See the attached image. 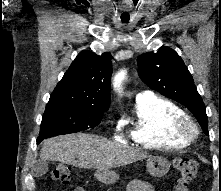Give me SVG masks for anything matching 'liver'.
I'll list each match as a JSON object with an SVG mask.
<instances>
[{"mask_svg":"<svg viewBox=\"0 0 221 191\" xmlns=\"http://www.w3.org/2000/svg\"><path fill=\"white\" fill-rule=\"evenodd\" d=\"M149 157L148 153L141 150L84 133L46 139L40 151L42 161H59L97 170L125 166Z\"/></svg>","mask_w":221,"mask_h":191,"instance_id":"liver-1","label":"liver"}]
</instances>
